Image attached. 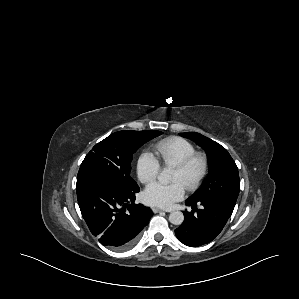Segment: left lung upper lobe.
<instances>
[{"mask_svg":"<svg viewBox=\"0 0 299 299\" xmlns=\"http://www.w3.org/2000/svg\"><path fill=\"white\" fill-rule=\"evenodd\" d=\"M200 145L209 157V175L202 187L189 199L194 202L217 200L234 209L240 180L238 168L228 151L199 133H180Z\"/></svg>","mask_w":299,"mask_h":299,"instance_id":"obj_1","label":"left lung upper lobe"}]
</instances>
